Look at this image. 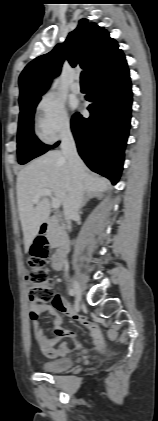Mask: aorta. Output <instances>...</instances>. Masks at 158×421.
Returning <instances> with one entry per match:
<instances>
[{"label": "aorta", "mask_w": 158, "mask_h": 421, "mask_svg": "<svg viewBox=\"0 0 158 421\" xmlns=\"http://www.w3.org/2000/svg\"><path fill=\"white\" fill-rule=\"evenodd\" d=\"M56 87V81L55 82H53V84H52V86H51V89H54Z\"/></svg>", "instance_id": "aorta-1"}]
</instances>
